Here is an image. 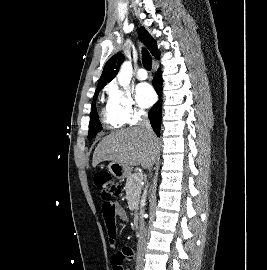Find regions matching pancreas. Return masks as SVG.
<instances>
[{
	"label": "pancreas",
	"instance_id": "1",
	"mask_svg": "<svg viewBox=\"0 0 267 270\" xmlns=\"http://www.w3.org/2000/svg\"><path fill=\"white\" fill-rule=\"evenodd\" d=\"M139 176V173H130L127 176L126 179V184H125V191L127 194V200L129 203L136 202L138 203L140 199V194H141V182L142 181H137L136 178Z\"/></svg>",
	"mask_w": 267,
	"mask_h": 270
}]
</instances>
